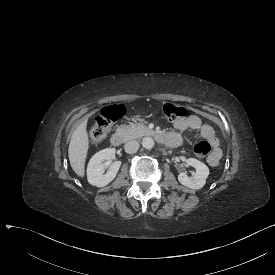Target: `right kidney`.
Wrapping results in <instances>:
<instances>
[{"instance_id": "right-kidney-1", "label": "right kidney", "mask_w": 275, "mask_h": 275, "mask_svg": "<svg viewBox=\"0 0 275 275\" xmlns=\"http://www.w3.org/2000/svg\"><path fill=\"white\" fill-rule=\"evenodd\" d=\"M115 152V148H106L97 152L90 159L87 166V179L91 185L96 187H104L116 177V174L121 166V161L113 162L107 173L103 174V161L112 159L115 156Z\"/></svg>"}]
</instances>
